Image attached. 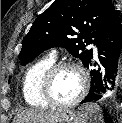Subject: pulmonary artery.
Wrapping results in <instances>:
<instances>
[{
  "label": "pulmonary artery",
  "instance_id": "obj_1",
  "mask_svg": "<svg viewBox=\"0 0 122 123\" xmlns=\"http://www.w3.org/2000/svg\"><path fill=\"white\" fill-rule=\"evenodd\" d=\"M92 48H93V53H94V56L97 57V48L96 46L92 45ZM50 57L55 59L56 58V52L53 51L51 54H50Z\"/></svg>",
  "mask_w": 122,
  "mask_h": 123
}]
</instances>
